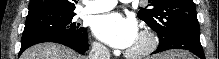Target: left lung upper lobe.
Masks as SVG:
<instances>
[{"label": "left lung upper lobe", "mask_w": 219, "mask_h": 59, "mask_svg": "<svg viewBox=\"0 0 219 59\" xmlns=\"http://www.w3.org/2000/svg\"><path fill=\"white\" fill-rule=\"evenodd\" d=\"M138 17L164 42L187 28H199L193 0H149Z\"/></svg>", "instance_id": "obj_1"}]
</instances>
